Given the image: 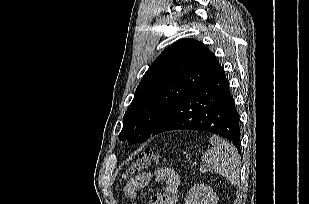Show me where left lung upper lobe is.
<instances>
[{
  "instance_id": "obj_1",
  "label": "left lung upper lobe",
  "mask_w": 309,
  "mask_h": 204,
  "mask_svg": "<svg viewBox=\"0 0 309 204\" xmlns=\"http://www.w3.org/2000/svg\"><path fill=\"white\" fill-rule=\"evenodd\" d=\"M221 68L215 55L197 40L181 39L167 47L139 83L118 138L144 142L177 102Z\"/></svg>"
}]
</instances>
